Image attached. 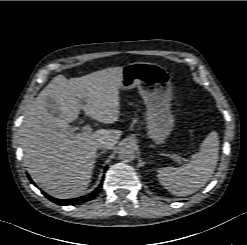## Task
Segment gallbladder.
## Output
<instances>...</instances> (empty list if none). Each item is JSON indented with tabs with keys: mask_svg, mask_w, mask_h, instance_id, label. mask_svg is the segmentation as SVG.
<instances>
[{
	"mask_svg": "<svg viewBox=\"0 0 247 245\" xmlns=\"http://www.w3.org/2000/svg\"><path fill=\"white\" fill-rule=\"evenodd\" d=\"M55 104H56L55 101L51 97L46 98V107L48 108L49 112L53 113L54 115L57 114L54 112V108H53Z\"/></svg>",
	"mask_w": 247,
	"mask_h": 245,
	"instance_id": "1",
	"label": "gallbladder"
}]
</instances>
